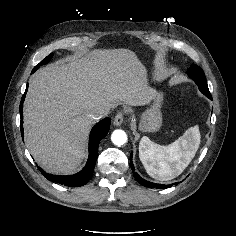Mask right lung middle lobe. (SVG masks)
<instances>
[{
  "label": "right lung middle lobe",
  "mask_w": 236,
  "mask_h": 236,
  "mask_svg": "<svg viewBox=\"0 0 236 236\" xmlns=\"http://www.w3.org/2000/svg\"><path fill=\"white\" fill-rule=\"evenodd\" d=\"M52 58V54H50L49 56H47L44 60H42L34 69L32 72L36 71L40 66L47 64Z\"/></svg>",
  "instance_id": "dd1d6c3e"
}]
</instances>
